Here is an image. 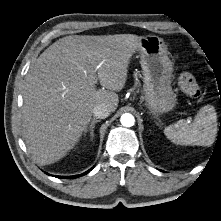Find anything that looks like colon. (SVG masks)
<instances>
[{
  "mask_svg": "<svg viewBox=\"0 0 221 221\" xmlns=\"http://www.w3.org/2000/svg\"><path fill=\"white\" fill-rule=\"evenodd\" d=\"M179 86L181 90L188 96L196 99L201 97V89L191 73L183 72L180 74Z\"/></svg>",
  "mask_w": 221,
  "mask_h": 221,
  "instance_id": "5ec220e1",
  "label": "colon"
}]
</instances>
